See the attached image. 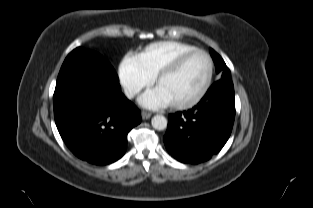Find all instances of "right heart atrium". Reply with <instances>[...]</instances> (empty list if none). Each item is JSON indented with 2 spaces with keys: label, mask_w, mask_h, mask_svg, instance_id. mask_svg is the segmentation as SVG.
Returning <instances> with one entry per match:
<instances>
[{
  "label": "right heart atrium",
  "mask_w": 313,
  "mask_h": 208,
  "mask_svg": "<svg viewBox=\"0 0 313 208\" xmlns=\"http://www.w3.org/2000/svg\"><path fill=\"white\" fill-rule=\"evenodd\" d=\"M120 79L129 97H135L153 81L152 76L137 65L134 57L125 59L121 64Z\"/></svg>",
  "instance_id": "1"
}]
</instances>
